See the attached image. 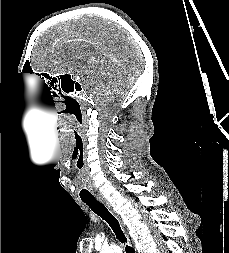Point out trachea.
I'll use <instances>...</instances> for the list:
<instances>
[{"label":"trachea","mask_w":229,"mask_h":253,"mask_svg":"<svg viewBox=\"0 0 229 253\" xmlns=\"http://www.w3.org/2000/svg\"><path fill=\"white\" fill-rule=\"evenodd\" d=\"M81 200L88 205L95 214L100 216L109 224L117 239H119L123 244L127 243V238L125 237L118 220L102 203L98 202L94 196L82 197ZM125 251L126 253H135L134 249L128 245L125 246Z\"/></svg>","instance_id":"1"}]
</instances>
